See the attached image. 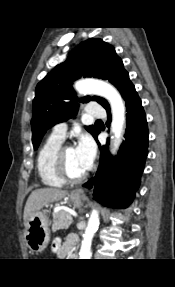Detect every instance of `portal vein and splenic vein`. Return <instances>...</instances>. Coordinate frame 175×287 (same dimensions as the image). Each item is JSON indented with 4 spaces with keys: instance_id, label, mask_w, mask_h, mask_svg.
<instances>
[{
    "instance_id": "portal-vein-and-splenic-vein-1",
    "label": "portal vein and splenic vein",
    "mask_w": 175,
    "mask_h": 287,
    "mask_svg": "<svg viewBox=\"0 0 175 287\" xmlns=\"http://www.w3.org/2000/svg\"><path fill=\"white\" fill-rule=\"evenodd\" d=\"M67 218H68L69 220H72V219H73L71 215H69Z\"/></svg>"
}]
</instances>
